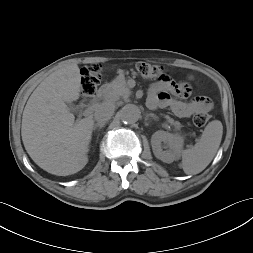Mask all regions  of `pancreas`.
Wrapping results in <instances>:
<instances>
[{"instance_id":"pancreas-1","label":"pancreas","mask_w":253,"mask_h":253,"mask_svg":"<svg viewBox=\"0 0 253 253\" xmlns=\"http://www.w3.org/2000/svg\"><path fill=\"white\" fill-rule=\"evenodd\" d=\"M106 92L104 98L109 101H117L120 98H127L131 91L128 88L126 81L124 79H115L111 83L105 86ZM167 122L173 125L175 128L180 129L182 127L179 121H174L168 115H165Z\"/></svg>"}]
</instances>
